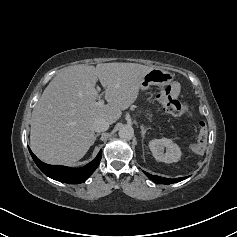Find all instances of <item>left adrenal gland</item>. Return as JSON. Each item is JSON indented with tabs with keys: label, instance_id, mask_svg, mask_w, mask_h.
<instances>
[{
	"label": "left adrenal gland",
	"instance_id": "a2214340",
	"mask_svg": "<svg viewBox=\"0 0 237 237\" xmlns=\"http://www.w3.org/2000/svg\"><path fill=\"white\" fill-rule=\"evenodd\" d=\"M140 128H141V136L144 139L145 138V133L149 128H144V126H141Z\"/></svg>",
	"mask_w": 237,
	"mask_h": 237
}]
</instances>
